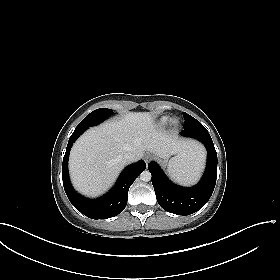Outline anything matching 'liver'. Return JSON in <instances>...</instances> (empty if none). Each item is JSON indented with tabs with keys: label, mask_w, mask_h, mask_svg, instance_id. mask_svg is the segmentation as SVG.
Returning <instances> with one entry per match:
<instances>
[{
	"label": "liver",
	"mask_w": 280,
	"mask_h": 280,
	"mask_svg": "<svg viewBox=\"0 0 280 280\" xmlns=\"http://www.w3.org/2000/svg\"><path fill=\"white\" fill-rule=\"evenodd\" d=\"M145 151L161 158L203 152L197 143L177 141L157 129L149 113H128L119 120L90 128L76 141L69 159L72 183L83 194L97 196L111 186L123 169L125 153L134 154L138 160Z\"/></svg>",
	"instance_id": "6515ba94"
}]
</instances>
